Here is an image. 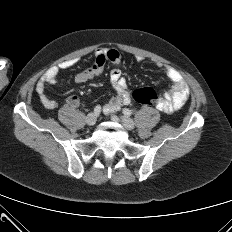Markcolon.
<instances>
[{"instance_id":"obj_1","label":"colon","mask_w":232,"mask_h":232,"mask_svg":"<svg viewBox=\"0 0 232 232\" xmlns=\"http://www.w3.org/2000/svg\"><path fill=\"white\" fill-rule=\"evenodd\" d=\"M133 99L143 105H152L157 100V93L151 87H140L133 91Z\"/></svg>"}]
</instances>
